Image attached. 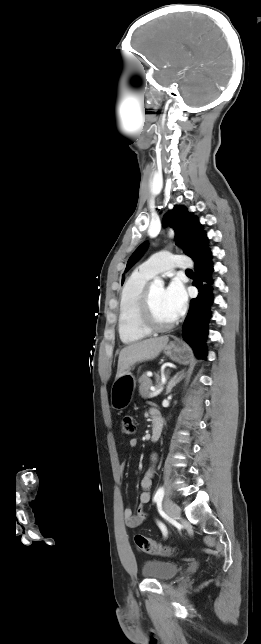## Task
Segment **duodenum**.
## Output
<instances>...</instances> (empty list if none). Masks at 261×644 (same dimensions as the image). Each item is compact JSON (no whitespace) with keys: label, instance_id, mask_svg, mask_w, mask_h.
I'll return each instance as SVG.
<instances>
[{"label":"duodenum","instance_id":"duodenum-1","mask_svg":"<svg viewBox=\"0 0 261 644\" xmlns=\"http://www.w3.org/2000/svg\"><path fill=\"white\" fill-rule=\"evenodd\" d=\"M163 430V421L159 413L152 415V432L151 441L156 442L160 439Z\"/></svg>","mask_w":261,"mask_h":644}]
</instances>
